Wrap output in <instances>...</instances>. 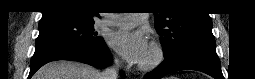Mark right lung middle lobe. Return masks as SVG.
I'll return each mask as SVG.
<instances>
[{
	"mask_svg": "<svg viewBox=\"0 0 255 79\" xmlns=\"http://www.w3.org/2000/svg\"><path fill=\"white\" fill-rule=\"evenodd\" d=\"M94 21H84L72 17L40 20L39 36L35 46L46 43H67L73 45H95L102 41L96 37Z\"/></svg>",
	"mask_w": 255,
	"mask_h": 79,
	"instance_id": "1",
	"label": "right lung middle lobe"
}]
</instances>
